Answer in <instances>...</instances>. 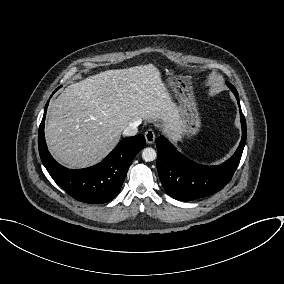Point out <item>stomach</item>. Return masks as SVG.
<instances>
[{"mask_svg": "<svg viewBox=\"0 0 284 284\" xmlns=\"http://www.w3.org/2000/svg\"><path fill=\"white\" fill-rule=\"evenodd\" d=\"M167 81L178 101L181 122L180 137L191 138L199 132L201 127V117L195 102L192 82L180 75L171 76Z\"/></svg>", "mask_w": 284, "mask_h": 284, "instance_id": "obj_1", "label": "stomach"}]
</instances>
